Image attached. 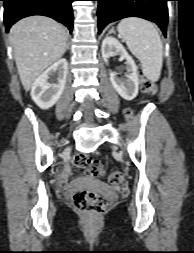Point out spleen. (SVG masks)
Masks as SVG:
<instances>
[{
	"label": "spleen",
	"mask_w": 194,
	"mask_h": 253,
	"mask_svg": "<svg viewBox=\"0 0 194 253\" xmlns=\"http://www.w3.org/2000/svg\"><path fill=\"white\" fill-rule=\"evenodd\" d=\"M118 32L131 53L140 60L145 77L151 82L160 78L163 45L155 26L144 19L129 17L120 21Z\"/></svg>",
	"instance_id": "spleen-1"
}]
</instances>
